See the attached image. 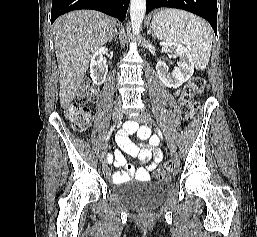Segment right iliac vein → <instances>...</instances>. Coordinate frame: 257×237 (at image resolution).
<instances>
[{"mask_svg": "<svg viewBox=\"0 0 257 237\" xmlns=\"http://www.w3.org/2000/svg\"><path fill=\"white\" fill-rule=\"evenodd\" d=\"M113 121L115 123H118L121 119H122V116H123V111L120 107H115L113 109ZM102 156H101V160L102 162L105 161V155H106V152H107V144H104L103 147H102Z\"/></svg>", "mask_w": 257, "mask_h": 237, "instance_id": "1", "label": "right iliac vein"}]
</instances>
